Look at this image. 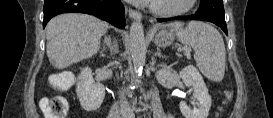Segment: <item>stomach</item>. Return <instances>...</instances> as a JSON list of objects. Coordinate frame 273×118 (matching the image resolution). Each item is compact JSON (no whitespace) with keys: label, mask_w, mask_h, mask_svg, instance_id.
<instances>
[{"label":"stomach","mask_w":273,"mask_h":118,"mask_svg":"<svg viewBox=\"0 0 273 118\" xmlns=\"http://www.w3.org/2000/svg\"><path fill=\"white\" fill-rule=\"evenodd\" d=\"M174 36L171 32H160L155 36V43L160 47H166L172 44Z\"/></svg>","instance_id":"stomach-1"}]
</instances>
